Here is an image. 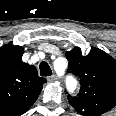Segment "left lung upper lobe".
<instances>
[{
  "label": "left lung upper lobe",
  "instance_id": "obj_1",
  "mask_svg": "<svg viewBox=\"0 0 116 116\" xmlns=\"http://www.w3.org/2000/svg\"><path fill=\"white\" fill-rule=\"evenodd\" d=\"M68 72L80 78L81 90L68 101L81 115L103 114L116 106V60L106 52L91 48L82 54L79 47L66 52Z\"/></svg>",
  "mask_w": 116,
  "mask_h": 116
}]
</instances>
